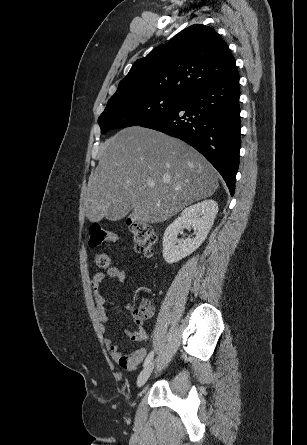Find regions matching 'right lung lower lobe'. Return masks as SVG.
<instances>
[{
    "label": "right lung lower lobe",
    "mask_w": 307,
    "mask_h": 445,
    "mask_svg": "<svg viewBox=\"0 0 307 445\" xmlns=\"http://www.w3.org/2000/svg\"><path fill=\"white\" fill-rule=\"evenodd\" d=\"M239 96V74L235 67L186 94L171 111L139 126L193 146L218 170L233 196L241 144Z\"/></svg>",
    "instance_id": "obj_1"
}]
</instances>
